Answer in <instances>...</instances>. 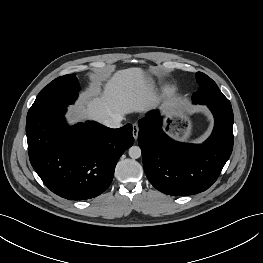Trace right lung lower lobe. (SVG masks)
<instances>
[{
    "instance_id": "98d812e1",
    "label": "right lung lower lobe",
    "mask_w": 263,
    "mask_h": 263,
    "mask_svg": "<svg viewBox=\"0 0 263 263\" xmlns=\"http://www.w3.org/2000/svg\"><path fill=\"white\" fill-rule=\"evenodd\" d=\"M65 104H58L26 123L29 159L44 184L69 200L104 192L115 166L132 146V125L111 129L88 121L67 127Z\"/></svg>"
}]
</instances>
